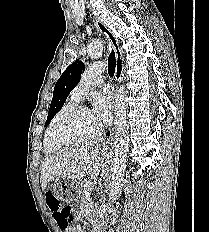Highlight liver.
Returning <instances> with one entry per match:
<instances>
[{
	"label": "liver",
	"mask_w": 209,
	"mask_h": 232,
	"mask_svg": "<svg viewBox=\"0 0 209 232\" xmlns=\"http://www.w3.org/2000/svg\"><path fill=\"white\" fill-rule=\"evenodd\" d=\"M100 166L99 142L89 141L72 145L46 157L41 166V188L44 190L55 177L81 179L90 175L95 179Z\"/></svg>",
	"instance_id": "obj_1"
}]
</instances>
